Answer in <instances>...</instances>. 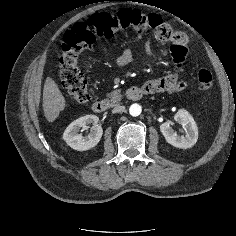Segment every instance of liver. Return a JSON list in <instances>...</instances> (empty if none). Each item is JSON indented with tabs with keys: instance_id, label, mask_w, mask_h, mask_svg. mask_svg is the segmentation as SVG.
<instances>
[{
	"instance_id": "obj_1",
	"label": "liver",
	"mask_w": 236,
	"mask_h": 236,
	"mask_svg": "<svg viewBox=\"0 0 236 236\" xmlns=\"http://www.w3.org/2000/svg\"><path fill=\"white\" fill-rule=\"evenodd\" d=\"M65 106L66 101L58 85L52 78L47 77L43 89V111L47 121H55Z\"/></svg>"
}]
</instances>
